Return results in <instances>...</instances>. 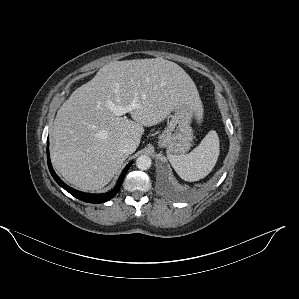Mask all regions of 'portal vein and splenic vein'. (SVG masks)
Masks as SVG:
<instances>
[{
	"label": "portal vein and splenic vein",
	"mask_w": 299,
	"mask_h": 299,
	"mask_svg": "<svg viewBox=\"0 0 299 299\" xmlns=\"http://www.w3.org/2000/svg\"><path fill=\"white\" fill-rule=\"evenodd\" d=\"M138 107L137 101L133 100L130 104L126 106H120V105H112V110L119 116L124 115L131 110Z\"/></svg>",
	"instance_id": "1"
}]
</instances>
